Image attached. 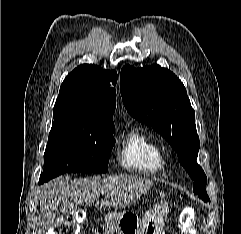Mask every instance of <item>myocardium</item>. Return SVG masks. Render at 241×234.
<instances>
[{
	"mask_svg": "<svg viewBox=\"0 0 241 234\" xmlns=\"http://www.w3.org/2000/svg\"><path fill=\"white\" fill-rule=\"evenodd\" d=\"M162 163H163V165L167 164V159L164 155H162Z\"/></svg>",
	"mask_w": 241,
	"mask_h": 234,
	"instance_id": "f54148a6",
	"label": "myocardium"
}]
</instances>
